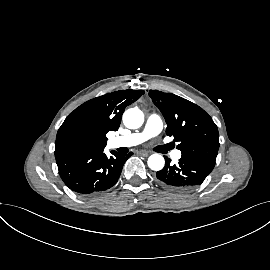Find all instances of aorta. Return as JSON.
Returning a JSON list of instances; mask_svg holds the SVG:
<instances>
[{"mask_svg": "<svg viewBox=\"0 0 270 270\" xmlns=\"http://www.w3.org/2000/svg\"><path fill=\"white\" fill-rule=\"evenodd\" d=\"M144 122V114L138 108H130L123 114V123L129 129H137ZM148 166L154 171L161 170L165 165L164 158L159 154H153L148 158Z\"/></svg>", "mask_w": 270, "mask_h": 270, "instance_id": "762f6f07", "label": "aorta"}]
</instances>
